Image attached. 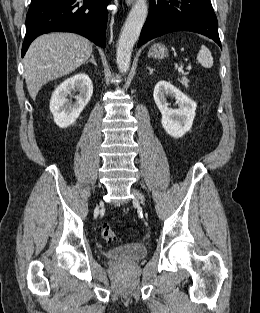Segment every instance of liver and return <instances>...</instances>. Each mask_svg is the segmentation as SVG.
<instances>
[{
  "label": "liver",
  "mask_w": 260,
  "mask_h": 313,
  "mask_svg": "<svg viewBox=\"0 0 260 313\" xmlns=\"http://www.w3.org/2000/svg\"><path fill=\"white\" fill-rule=\"evenodd\" d=\"M91 42L74 33H49L36 38L24 57V75L33 100L48 81L77 69L91 56Z\"/></svg>",
  "instance_id": "obj_1"
}]
</instances>
